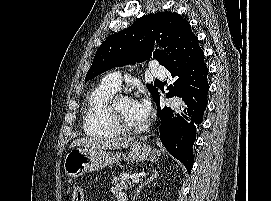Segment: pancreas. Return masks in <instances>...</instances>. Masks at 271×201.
Segmentation results:
<instances>
[{
  "mask_svg": "<svg viewBox=\"0 0 271 201\" xmlns=\"http://www.w3.org/2000/svg\"><path fill=\"white\" fill-rule=\"evenodd\" d=\"M111 183L122 190H128L133 187L130 177L126 174H121L119 177H113Z\"/></svg>",
  "mask_w": 271,
  "mask_h": 201,
  "instance_id": "pancreas-1",
  "label": "pancreas"
}]
</instances>
